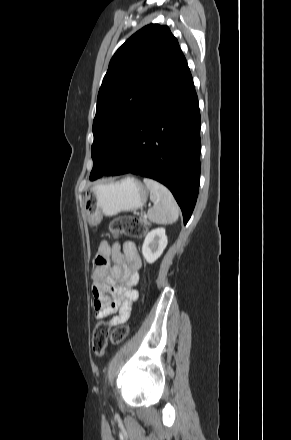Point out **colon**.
<instances>
[{
	"mask_svg": "<svg viewBox=\"0 0 291 440\" xmlns=\"http://www.w3.org/2000/svg\"><path fill=\"white\" fill-rule=\"evenodd\" d=\"M145 224L138 218L131 215H124L112 220L110 224V233L114 237H118L120 234H127L133 238H142L146 234ZM128 335V327L119 326L115 328L111 334V340L114 343L123 341ZM109 338L108 329L105 320H101L95 327L91 345L93 352L102 356L104 354L107 341Z\"/></svg>",
	"mask_w": 291,
	"mask_h": 440,
	"instance_id": "5ec220e1",
	"label": "colon"
}]
</instances>
